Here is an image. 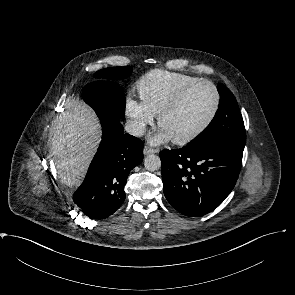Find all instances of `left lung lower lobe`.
<instances>
[{"label": "left lung lower lobe", "instance_id": "left-lung-lower-lobe-1", "mask_svg": "<svg viewBox=\"0 0 295 295\" xmlns=\"http://www.w3.org/2000/svg\"><path fill=\"white\" fill-rule=\"evenodd\" d=\"M159 156L168 202L186 216L200 217L216 209L234 188L243 151L208 144L162 150Z\"/></svg>", "mask_w": 295, "mask_h": 295}]
</instances>
